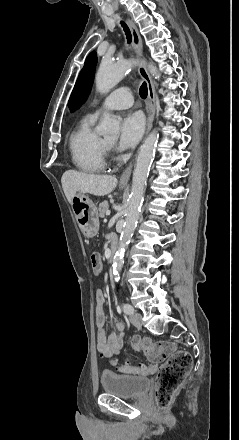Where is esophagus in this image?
<instances>
[{"mask_svg": "<svg viewBox=\"0 0 239 440\" xmlns=\"http://www.w3.org/2000/svg\"><path fill=\"white\" fill-rule=\"evenodd\" d=\"M127 23H128L129 28L131 30L132 43H133L134 50L136 52L137 57L141 60L139 67H138V72L141 75V77L143 78V80H145V82L148 85V98H149V102H150V110L148 112V117H147V134H148L152 128V123L154 120V115H155V110H156L154 84H153L152 79L146 69L145 63L142 60V40L139 35L138 29H137L135 23L132 22L131 20H127ZM131 171H132V162L128 165L126 170L122 173L119 182L120 183H127L129 181Z\"/></svg>", "mask_w": 239, "mask_h": 440, "instance_id": "1", "label": "esophagus"}]
</instances>
